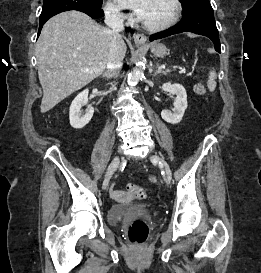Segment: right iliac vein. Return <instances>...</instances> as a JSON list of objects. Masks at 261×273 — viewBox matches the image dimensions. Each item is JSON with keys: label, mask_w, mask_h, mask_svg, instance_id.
I'll return each instance as SVG.
<instances>
[{"label": "right iliac vein", "mask_w": 261, "mask_h": 273, "mask_svg": "<svg viewBox=\"0 0 261 273\" xmlns=\"http://www.w3.org/2000/svg\"><path fill=\"white\" fill-rule=\"evenodd\" d=\"M119 164H120V157L116 156L112 160L111 164L109 165V168H108L107 173H106V177H105V179L103 181L102 188L104 190L108 187L110 178H111L112 174L114 173V171L118 168Z\"/></svg>", "instance_id": "right-iliac-vein-1"}]
</instances>
